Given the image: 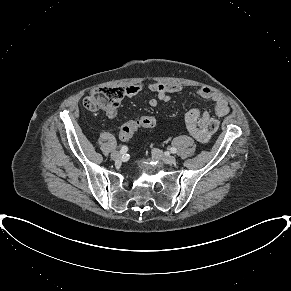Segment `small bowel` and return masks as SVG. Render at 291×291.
Returning <instances> with one entry per match:
<instances>
[{
	"instance_id": "small-bowel-1",
	"label": "small bowel",
	"mask_w": 291,
	"mask_h": 291,
	"mask_svg": "<svg viewBox=\"0 0 291 291\" xmlns=\"http://www.w3.org/2000/svg\"><path fill=\"white\" fill-rule=\"evenodd\" d=\"M156 94L155 98L150 99L149 105L153 108L157 107L160 102H169L171 94L179 92L181 87L172 83L154 82L147 87ZM145 89L142 85H130L125 88V96L133 98ZM197 94L204 99L212 100L215 103L214 111L217 116L223 117L229 114L230 107L226 99L209 87L200 88ZM109 118L117 116V109L112 108L105 111ZM185 124L188 132L197 141L207 143L211 136L216 132L219 121L210 116L208 112H201L198 108H192L185 114Z\"/></svg>"
}]
</instances>
